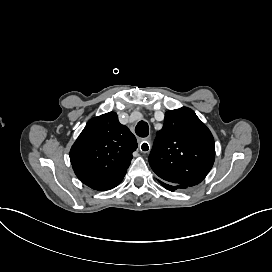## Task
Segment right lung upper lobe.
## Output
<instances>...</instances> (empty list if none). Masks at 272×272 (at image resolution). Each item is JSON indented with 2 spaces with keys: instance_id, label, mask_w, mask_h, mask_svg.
<instances>
[{
  "instance_id": "obj_1",
  "label": "right lung upper lobe",
  "mask_w": 272,
  "mask_h": 272,
  "mask_svg": "<svg viewBox=\"0 0 272 272\" xmlns=\"http://www.w3.org/2000/svg\"><path fill=\"white\" fill-rule=\"evenodd\" d=\"M137 146L117 114L109 112L89 120L70 150V161L81 182L105 191L122 181Z\"/></svg>"
}]
</instances>
